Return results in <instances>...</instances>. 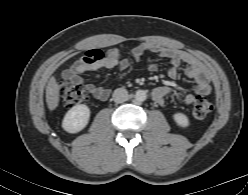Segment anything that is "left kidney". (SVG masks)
Wrapping results in <instances>:
<instances>
[{
    "label": "left kidney",
    "mask_w": 248,
    "mask_h": 195,
    "mask_svg": "<svg viewBox=\"0 0 248 195\" xmlns=\"http://www.w3.org/2000/svg\"><path fill=\"white\" fill-rule=\"evenodd\" d=\"M173 119L176 122V124L180 127L186 128L189 126V119L183 113H175L173 115Z\"/></svg>",
    "instance_id": "left-kidney-1"
}]
</instances>
